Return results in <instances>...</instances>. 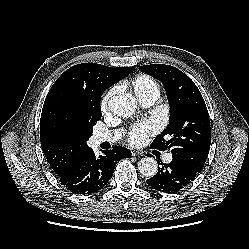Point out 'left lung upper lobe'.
Wrapping results in <instances>:
<instances>
[{
    "label": "left lung upper lobe",
    "mask_w": 249,
    "mask_h": 249,
    "mask_svg": "<svg viewBox=\"0 0 249 249\" xmlns=\"http://www.w3.org/2000/svg\"><path fill=\"white\" fill-rule=\"evenodd\" d=\"M139 69L162 82L170 104L169 125L150 147L171 151L173 159L200 173L209 153L211 133L208 110L199 89L173 66L151 64Z\"/></svg>",
    "instance_id": "obj_1"
}]
</instances>
